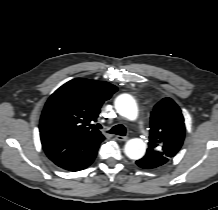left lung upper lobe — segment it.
Here are the masks:
<instances>
[{
    "label": "left lung upper lobe",
    "mask_w": 218,
    "mask_h": 210,
    "mask_svg": "<svg viewBox=\"0 0 218 210\" xmlns=\"http://www.w3.org/2000/svg\"><path fill=\"white\" fill-rule=\"evenodd\" d=\"M150 136L145 157L161 166L180 150L184 135V118L178 105L171 98L158 102L150 117Z\"/></svg>",
    "instance_id": "left-lung-upper-lobe-1"
}]
</instances>
